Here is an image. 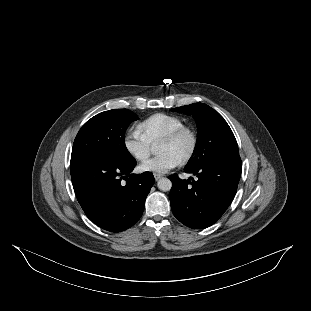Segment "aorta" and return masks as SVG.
I'll list each match as a JSON object with an SVG mask.
<instances>
[{"mask_svg":"<svg viewBox=\"0 0 311 311\" xmlns=\"http://www.w3.org/2000/svg\"><path fill=\"white\" fill-rule=\"evenodd\" d=\"M157 186L158 188L161 190V191H169L172 187V182L170 179L168 178H161L158 183H157Z\"/></svg>","mask_w":311,"mask_h":311,"instance_id":"obj_1","label":"aorta"}]
</instances>
